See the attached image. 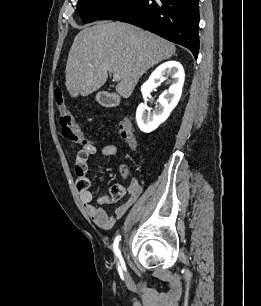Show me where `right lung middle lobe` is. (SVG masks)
Masks as SVG:
<instances>
[{
    "mask_svg": "<svg viewBox=\"0 0 261 306\" xmlns=\"http://www.w3.org/2000/svg\"><path fill=\"white\" fill-rule=\"evenodd\" d=\"M120 0H78L77 13L85 23L99 19L112 6Z\"/></svg>",
    "mask_w": 261,
    "mask_h": 306,
    "instance_id": "right-lung-middle-lobe-1",
    "label": "right lung middle lobe"
}]
</instances>
